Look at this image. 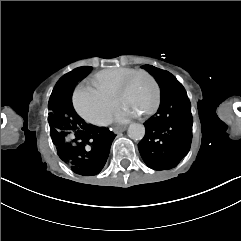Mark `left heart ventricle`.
Here are the masks:
<instances>
[{"mask_svg":"<svg viewBox=\"0 0 241 241\" xmlns=\"http://www.w3.org/2000/svg\"><path fill=\"white\" fill-rule=\"evenodd\" d=\"M138 79L125 86L123 100L126 109L139 115L150 108L155 100V95L149 76L138 77Z\"/></svg>","mask_w":241,"mask_h":241,"instance_id":"b2bd125f","label":"left heart ventricle"}]
</instances>
